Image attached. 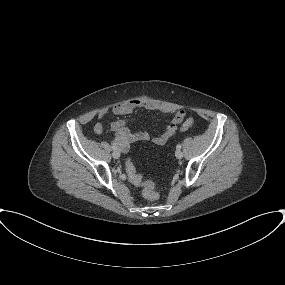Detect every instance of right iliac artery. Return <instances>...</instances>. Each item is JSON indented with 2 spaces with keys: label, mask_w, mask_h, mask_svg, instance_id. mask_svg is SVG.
Listing matches in <instances>:
<instances>
[{
  "label": "right iliac artery",
  "mask_w": 285,
  "mask_h": 285,
  "mask_svg": "<svg viewBox=\"0 0 285 285\" xmlns=\"http://www.w3.org/2000/svg\"><path fill=\"white\" fill-rule=\"evenodd\" d=\"M112 149H113V150H116V149H117V146L113 145V146H112Z\"/></svg>",
  "instance_id": "1"
}]
</instances>
